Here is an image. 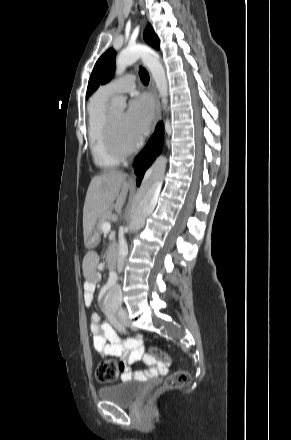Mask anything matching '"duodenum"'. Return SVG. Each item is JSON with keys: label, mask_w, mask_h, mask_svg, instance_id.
Here are the masks:
<instances>
[{"label": "duodenum", "mask_w": 291, "mask_h": 440, "mask_svg": "<svg viewBox=\"0 0 291 440\" xmlns=\"http://www.w3.org/2000/svg\"><path fill=\"white\" fill-rule=\"evenodd\" d=\"M105 258H106V262H107L109 271H113L115 268V265H116V258H117L116 257V250L110 249L107 252Z\"/></svg>", "instance_id": "obj_1"}]
</instances>
